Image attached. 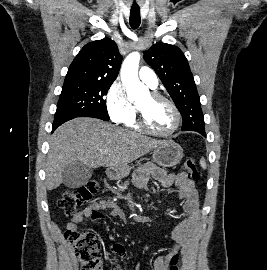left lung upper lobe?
Instances as JSON below:
<instances>
[{
  "mask_svg": "<svg viewBox=\"0 0 267 270\" xmlns=\"http://www.w3.org/2000/svg\"><path fill=\"white\" fill-rule=\"evenodd\" d=\"M183 119L182 131L205 132L200 98L183 52L174 45L156 43L144 52Z\"/></svg>",
  "mask_w": 267,
  "mask_h": 270,
  "instance_id": "left-lung-upper-lobe-1",
  "label": "left lung upper lobe"
}]
</instances>
